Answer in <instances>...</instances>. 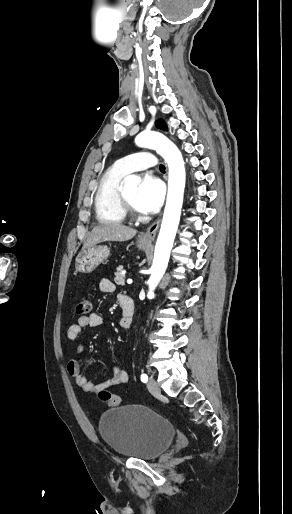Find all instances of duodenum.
<instances>
[{"label":"duodenum","instance_id":"410a0bca","mask_svg":"<svg viewBox=\"0 0 292 514\" xmlns=\"http://www.w3.org/2000/svg\"><path fill=\"white\" fill-rule=\"evenodd\" d=\"M118 301H119V304H120L121 308L126 313V322L128 320H130L131 324H132V318H133V315H134V312H135V304H134L133 298L131 296H129V295H119ZM131 324H130L129 327H127V324L125 323L124 324V329L125 330L130 329Z\"/></svg>","mask_w":292,"mask_h":514}]
</instances>
